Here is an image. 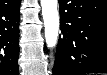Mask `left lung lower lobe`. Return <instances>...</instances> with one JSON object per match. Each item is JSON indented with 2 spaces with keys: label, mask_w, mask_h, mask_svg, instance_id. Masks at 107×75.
<instances>
[{
  "label": "left lung lower lobe",
  "mask_w": 107,
  "mask_h": 75,
  "mask_svg": "<svg viewBox=\"0 0 107 75\" xmlns=\"http://www.w3.org/2000/svg\"><path fill=\"white\" fill-rule=\"evenodd\" d=\"M60 29L53 75L107 73V1L59 0ZM78 17L83 26L79 40L67 38L69 22Z\"/></svg>",
  "instance_id": "obj_1"
}]
</instances>
